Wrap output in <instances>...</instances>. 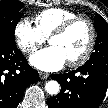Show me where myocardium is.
<instances>
[{
    "label": "myocardium",
    "instance_id": "f54148a6",
    "mask_svg": "<svg viewBox=\"0 0 108 108\" xmlns=\"http://www.w3.org/2000/svg\"><path fill=\"white\" fill-rule=\"evenodd\" d=\"M77 23H84L88 27L89 41L84 52L80 56H78L75 59L67 61V64L71 67L80 66L83 63H85L89 59V57L91 56L94 50V47L96 44L97 33H96V29L93 22L86 17H82V16L73 17L71 19L66 20L59 27H57L51 33L50 38H49L50 40L53 37L64 35Z\"/></svg>",
    "mask_w": 108,
    "mask_h": 108
}]
</instances>
